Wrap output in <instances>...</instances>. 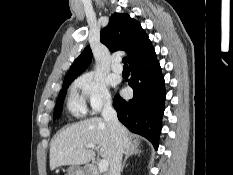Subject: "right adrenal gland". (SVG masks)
Returning a JSON list of instances; mask_svg holds the SVG:
<instances>
[{
    "mask_svg": "<svg viewBox=\"0 0 233 175\" xmlns=\"http://www.w3.org/2000/svg\"><path fill=\"white\" fill-rule=\"evenodd\" d=\"M142 151H141V148L138 147V146H134L132 147L125 155V159H124V162H123V165H122V168H121V172H123L124 170V167H125V164H126V161L129 157L133 156V155H141Z\"/></svg>",
    "mask_w": 233,
    "mask_h": 175,
    "instance_id": "2a0ac1e0",
    "label": "right adrenal gland"
}]
</instances>
